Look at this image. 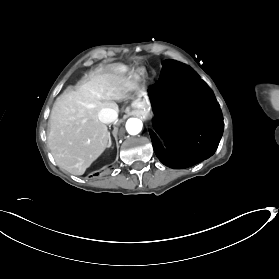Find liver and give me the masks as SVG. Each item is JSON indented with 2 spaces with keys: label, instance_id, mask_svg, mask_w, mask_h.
Returning <instances> with one entry per match:
<instances>
[{
  "label": "liver",
  "instance_id": "liver-1",
  "mask_svg": "<svg viewBox=\"0 0 279 279\" xmlns=\"http://www.w3.org/2000/svg\"><path fill=\"white\" fill-rule=\"evenodd\" d=\"M135 91L138 98L145 92L127 80L120 66L97 70L77 91L60 95L52 108L48 134L57 165L73 175H82L109 145V132L98 113L104 108L118 110L115 101Z\"/></svg>",
  "mask_w": 279,
  "mask_h": 279
}]
</instances>
